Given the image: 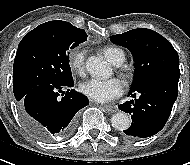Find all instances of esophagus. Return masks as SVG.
Wrapping results in <instances>:
<instances>
[{
  "instance_id": "34e87169",
  "label": "esophagus",
  "mask_w": 190,
  "mask_h": 165,
  "mask_svg": "<svg viewBox=\"0 0 190 165\" xmlns=\"http://www.w3.org/2000/svg\"><path fill=\"white\" fill-rule=\"evenodd\" d=\"M102 107H104L106 109V111L110 112V113H115L118 111L116 106H112V105H101Z\"/></svg>"
}]
</instances>
